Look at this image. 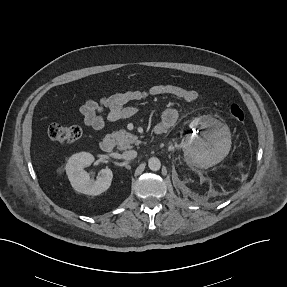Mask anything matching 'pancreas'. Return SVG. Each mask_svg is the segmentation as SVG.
<instances>
[{"label": "pancreas", "instance_id": "pancreas-1", "mask_svg": "<svg viewBox=\"0 0 287 287\" xmlns=\"http://www.w3.org/2000/svg\"><path fill=\"white\" fill-rule=\"evenodd\" d=\"M111 137L115 139L117 148L119 150H125L128 148H132V144H139V141L137 140V137L133 134L127 132L126 130H119L116 132H113L111 134Z\"/></svg>", "mask_w": 287, "mask_h": 287}]
</instances>
